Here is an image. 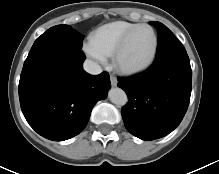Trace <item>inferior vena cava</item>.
Instances as JSON below:
<instances>
[{"label":"inferior vena cava","instance_id":"1","mask_svg":"<svg viewBox=\"0 0 219 174\" xmlns=\"http://www.w3.org/2000/svg\"><path fill=\"white\" fill-rule=\"evenodd\" d=\"M84 70L92 75H97L102 72V68L100 67L99 64L92 60H86L83 64Z\"/></svg>","mask_w":219,"mask_h":174}]
</instances>
